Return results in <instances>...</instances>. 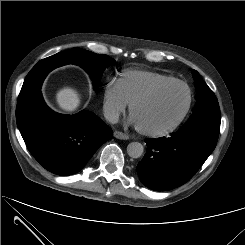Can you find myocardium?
<instances>
[{"instance_id": "myocardium-1", "label": "myocardium", "mask_w": 245, "mask_h": 245, "mask_svg": "<svg viewBox=\"0 0 245 245\" xmlns=\"http://www.w3.org/2000/svg\"><path fill=\"white\" fill-rule=\"evenodd\" d=\"M182 85L186 88L187 92H188V100H187V104L185 109L183 110V112L180 114V116L178 117V119L171 124L170 126H168L165 129L162 130H158V131H149V130H145L143 128H140L137 126V130L145 136L148 137H152V138H161V137H165L170 135L171 133H173L185 120V118L187 117V115L190 112V109L192 107V103H193V93L192 90L190 88V86L185 83L184 81L178 80V79H172L166 82H163L161 84L156 85L155 87H153L152 89H150L149 91H147L146 93L140 95L139 97L135 98L131 103H130V107H129V113L132 116L134 109L152 99L153 97H155L159 92H161L163 89L171 86V85Z\"/></svg>"}]
</instances>
